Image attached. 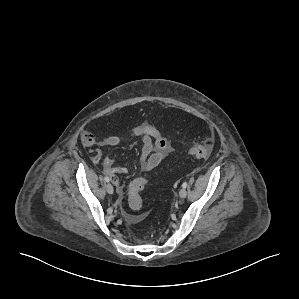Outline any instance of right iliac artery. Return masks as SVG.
<instances>
[{"label":"right iliac artery","instance_id":"82829eb1","mask_svg":"<svg viewBox=\"0 0 299 299\" xmlns=\"http://www.w3.org/2000/svg\"><path fill=\"white\" fill-rule=\"evenodd\" d=\"M104 180H105L106 182H109V181H110L109 177H107V176L104 177Z\"/></svg>","mask_w":299,"mask_h":299}]
</instances>
